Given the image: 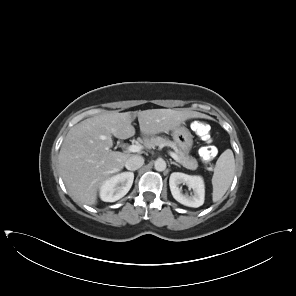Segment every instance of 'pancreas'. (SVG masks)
<instances>
[{
	"label": "pancreas",
	"mask_w": 296,
	"mask_h": 296,
	"mask_svg": "<svg viewBox=\"0 0 296 296\" xmlns=\"http://www.w3.org/2000/svg\"><path fill=\"white\" fill-rule=\"evenodd\" d=\"M143 144L147 148H154L155 146L164 147L168 146L175 150L176 155L179 157V163L185 168L190 170H195L198 167L197 161L195 158L188 155V153L183 152L177 148L175 142L170 141L169 139L160 137V136H151L143 139Z\"/></svg>",
	"instance_id": "pancreas-1"
}]
</instances>
